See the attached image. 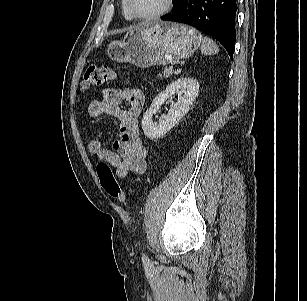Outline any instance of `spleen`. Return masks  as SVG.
Here are the masks:
<instances>
[{
    "instance_id": "3e777b00",
    "label": "spleen",
    "mask_w": 307,
    "mask_h": 301,
    "mask_svg": "<svg viewBox=\"0 0 307 301\" xmlns=\"http://www.w3.org/2000/svg\"><path fill=\"white\" fill-rule=\"evenodd\" d=\"M201 51L204 55H213L219 52L217 44L208 37L202 38Z\"/></svg>"
}]
</instances>
